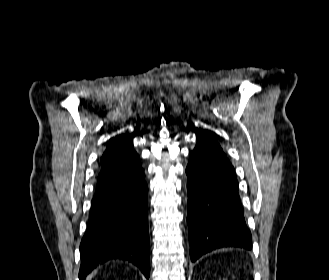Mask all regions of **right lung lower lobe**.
<instances>
[{"instance_id": "right-lung-lower-lobe-1", "label": "right lung lower lobe", "mask_w": 329, "mask_h": 280, "mask_svg": "<svg viewBox=\"0 0 329 280\" xmlns=\"http://www.w3.org/2000/svg\"><path fill=\"white\" fill-rule=\"evenodd\" d=\"M147 189L139 164L100 171L80 244V280L110 259L132 262L149 278Z\"/></svg>"}]
</instances>
